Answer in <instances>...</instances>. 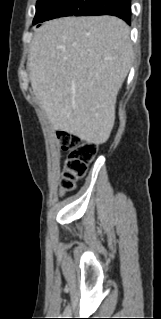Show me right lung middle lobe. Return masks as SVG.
Listing matches in <instances>:
<instances>
[{"instance_id": "right-lung-middle-lobe-1", "label": "right lung middle lobe", "mask_w": 161, "mask_h": 319, "mask_svg": "<svg viewBox=\"0 0 161 319\" xmlns=\"http://www.w3.org/2000/svg\"><path fill=\"white\" fill-rule=\"evenodd\" d=\"M94 0H37L33 24L65 16H79Z\"/></svg>"}]
</instances>
